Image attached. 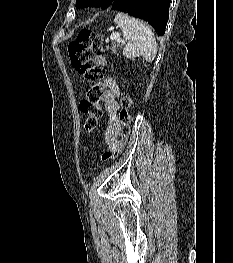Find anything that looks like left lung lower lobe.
Instances as JSON below:
<instances>
[{"label": "left lung lower lobe", "mask_w": 233, "mask_h": 263, "mask_svg": "<svg viewBox=\"0 0 233 263\" xmlns=\"http://www.w3.org/2000/svg\"><path fill=\"white\" fill-rule=\"evenodd\" d=\"M171 0H115L111 9L147 21L158 33H165Z\"/></svg>", "instance_id": "0a47b994"}]
</instances>
